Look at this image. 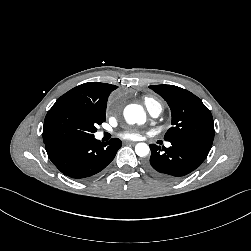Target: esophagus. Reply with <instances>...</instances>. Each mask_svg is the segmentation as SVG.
<instances>
[{"mask_svg":"<svg viewBox=\"0 0 251 251\" xmlns=\"http://www.w3.org/2000/svg\"><path fill=\"white\" fill-rule=\"evenodd\" d=\"M136 142L135 141H126V144H129V145H134Z\"/></svg>","mask_w":251,"mask_h":251,"instance_id":"obj_1","label":"esophagus"}]
</instances>
